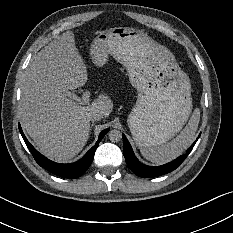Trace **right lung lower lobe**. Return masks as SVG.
I'll return each mask as SVG.
<instances>
[{"mask_svg":"<svg viewBox=\"0 0 233 233\" xmlns=\"http://www.w3.org/2000/svg\"><path fill=\"white\" fill-rule=\"evenodd\" d=\"M19 130H20V133H21L22 137L24 138L30 152L32 153L34 159L41 167H43L44 169L48 170L49 172H51L57 176L64 177V178H71V179L80 177L89 168V166L91 165V163L93 161L95 150H96L99 142L104 137V135L109 131V129L103 130L99 135V139H98L96 145L94 147H92L85 154V156L82 159H80L79 161L74 162V163H70V164H59V163H55V162L47 159L46 157L41 155L36 149H34V147L28 142L25 135L23 134V131L20 127V124H19Z\"/></svg>","mask_w":233,"mask_h":233,"instance_id":"1","label":"right lung lower lobe"}]
</instances>
